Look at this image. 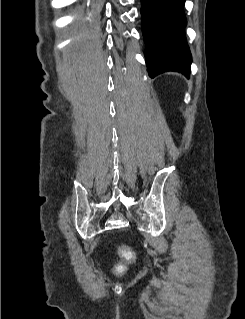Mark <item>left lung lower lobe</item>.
Returning a JSON list of instances; mask_svg holds the SVG:
<instances>
[{
  "mask_svg": "<svg viewBox=\"0 0 245 319\" xmlns=\"http://www.w3.org/2000/svg\"><path fill=\"white\" fill-rule=\"evenodd\" d=\"M141 3L149 76L177 71L188 77L192 57L184 34L185 0H141Z\"/></svg>",
  "mask_w": 245,
  "mask_h": 319,
  "instance_id": "left-lung-lower-lobe-1",
  "label": "left lung lower lobe"
}]
</instances>
